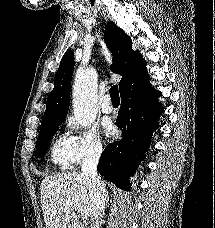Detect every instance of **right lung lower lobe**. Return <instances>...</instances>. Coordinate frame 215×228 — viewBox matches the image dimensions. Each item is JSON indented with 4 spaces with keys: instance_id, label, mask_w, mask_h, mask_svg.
Segmentation results:
<instances>
[{
    "instance_id": "right-lung-lower-lobe-1",
    "label": "right lung lower lobe",
    "mask_w": 215,
    "mask_h": 228,
    "mask_svg": "<svg viewBox=\"0 0 215 228\" xmlns=\"http://www.w3.org/2000/svg\"><path fill=\"white\" fill-rule=\"evenodd\" d=\"M159 96L160 92L149 83L148 75L131 79L121 92L116 124L122 129V139L105 148L97 167L105 179L121 189L130 190L129 178L146 157L143 152L159 126L158 117L164 112Z\"/></svg>"
}]
</instances>
